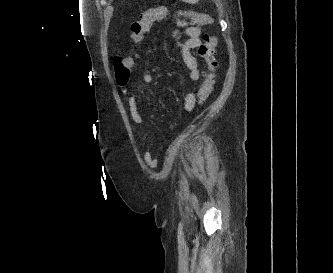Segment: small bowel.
Returning <instances> with one entry per match:
<instances>
[{
	"label": "small bowel",
	"mask_w": 333,
	"mask_h": 273,
	"mask_svg": "<svg viewBox=\"0 0 333 273\" xmlns=\"http://www.w3.org/2000/svg\"><path fill=\"white\" fill-rule=\"evenodd\" d=\"M172 16L178 15L174 14L171 15V17ZM161 19H164V16ZM169 21L171 22V18ZM172 24L175 28L174 40L179 47L182 59L189 70V77L192 81H198L201 76V69L194 50L201 42L202 25L195 24L181 17L179 23ZM182 34L185 36L184 39H182ZM141 79L143 83L150 84L154 80V75L150 69L144 68L141 73ZM122 93L127 100L128 110L133 122L143 129L144 120L138 110L141 93H130L127 87H122ZM196 100V93H187L182 103V109L184 111H191L195 107ZM146 137L147 133L146 131H143V138ZM144 161L149 167H155L157 164L156 159L150 151L144 153Z\"/></svg>",
	"instance_id": "obj_1"
}]
</instances>
